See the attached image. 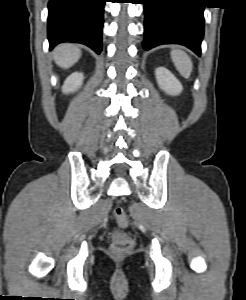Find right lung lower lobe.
Returning a JSON list of instances; mask_svg holds the SVG:
<instances>
[{"label":"right lung lower lobe","mask_w":246,"mask_h":300,"mask_svg":"<svg viewBox=\"0 0 246 300\" xmlns=\"http://www.w3.org/2000/svg\"><path fill=\"white\" fill-rule=\"evenodd\" d=\"M104 4L105 0H50V49L62 42H79L100 54Z\"/></svg>","instance_id":"98d812e1"}]
</instances>
